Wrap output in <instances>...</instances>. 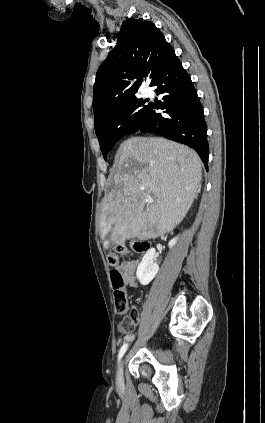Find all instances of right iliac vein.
Segmentation results:
<instances>
[{"mask_svg":"<svg viewBox=\"0 0 265 423\" xmlns=\"http://www.w3.org/2000/svg\"><path fill=\"white\" fill-rule=\"evenodd\" d=\"M122 370H123V362H121L118 372H117V380L120 381L121 380V376H122Z\"/></svg>","mask_w":265,"mask_h":423,"instance_id":"63e3f726","label":"right iliac vein"}]
</instances>
